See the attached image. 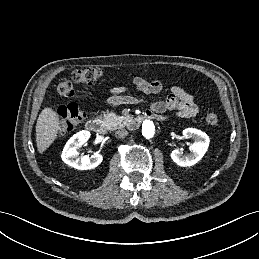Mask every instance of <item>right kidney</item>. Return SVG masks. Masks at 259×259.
I'll return each instance as SVG.
<instances>
[{
    "mask_svg": "<svg viewBox=\"0 0 259 259\" xmlns=\"http://www.w3.org/2000/svg\"><path fill=\"white\" fill-rule=\"evenodd\" d=\"M90 138V132L82 130L74 134L64 146L61 158L69 166L78 170H90L96 168L103 160V156L95 153L92 156H80L77 151Z\"/></svg>",
    "mask_w": 259,
    "mask_h": 259,
    "instance_id": "obj_1",
    "label": "right kidney"
}]
</instances>
